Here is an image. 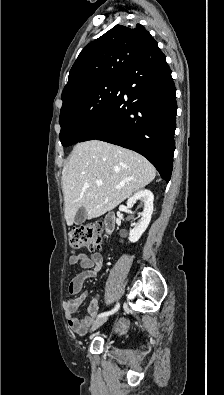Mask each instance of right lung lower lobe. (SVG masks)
<instances>
[{
	"instance_id": "obj_1",
	"label": "right lung lower lobe",
	"mask_w": 224,
	"mask_h": 395,
	"mask_svg": "<svg viewBox=\"0 0 224 395\" xmlns=\"http://www.w3.org/2000/svg\"><path fill=\"white\" fill-rule=\"evenodd\" d=\"M176 89L165 55L150 42L122 76L107 108L79 141L102 140L146 157L167 182L170 180Z\"/></svg>"
}]
</instances>
